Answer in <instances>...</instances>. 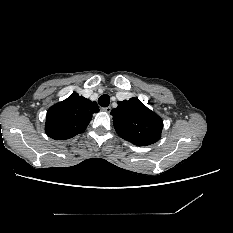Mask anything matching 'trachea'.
<instances>
[{
    "mask_svg": "<svg viewBox=\"0 0 233 233\" xmlns=\"http://www.w3.org/2000/svg\"><path fill=\"white\" fill-rule=\"evenodd\" d=\"M98 103L102 107H107L110 103V97L107 94H103L99 97Z\"/></svg>",
    "mask_w": 233,
    "mask_h": 233,
    "instance_id": "3493384b",
    "label": "trachea"
}]
</instances>
